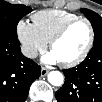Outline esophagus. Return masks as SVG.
I'll return each instance as SVG.
<instances>
[{
	"label": "esophagus",
	"instance_id": "34e87169",
	"mask_svg": "<svg viewBox=\"0 0 102 102\" xmlns=\"http://www.w3.org/2000/svg\"><path fill=\"white\" fill-rule=\"evenodd\" d=\"M49 70L47 68L42 67L41 68V76L44 77L48 74Z\"/></svg>",
	"mask_w": 102,
	"mask_h": 102
}]
</instances>
